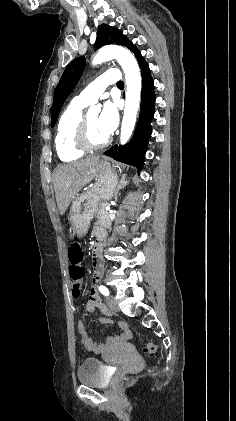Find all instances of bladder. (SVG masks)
Here are the masks:
<instances>
[{"label":"bladder","instance_id":"1","mask_svg":"<svg viewBox=\"0 0 236 421\" xmlns=\"http://www.w3.org/2000/svg\"><path fill=\"white\" fill-rule=\"evenodd\" d=\"M76 374L77 382L81 384L97 388L109 386V381L106 380L102 371L101 360L96 358H85L78 367Z\"/></svg>","mask_w":236,"mask_h":421}]
</instances>
